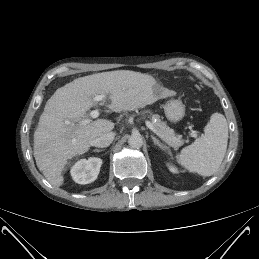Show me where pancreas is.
<instances>
[{
	"mask_svg": "<svg viewBox=\"0 0 259 259\" xmlns=\"http://www.w3.org/2000/svg\"><path fill=\"white\" fill-rule=\"evenodd\" d=\"M156 122H153L155 129L163 136L162 139L174 148H178L183 145L184 141L180 135H175L173 129L166 125L165 122L160 120L159 115H155Z\"/></svg>",
	"mask_w": 259,
	"mask_h": 259,
	"instance_id": "1",
	"label": "pancreas"
}]
</instances>
